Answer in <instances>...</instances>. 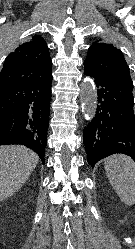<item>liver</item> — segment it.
<instances>
[{"label":"liver","mask_w":135,"mask_h":249,"mask_svg":"<svg viewBox=\"0 0 135 249\" xmlns=\"http://www.w3.org/2000/svg\"><path fill=\"white\" fill-rule=\"evenodd\" d=\"M38 162V155L25 146H0V201L23 186Z\"/></svg>","instance_id":"6515ba94"}]
</instances>
